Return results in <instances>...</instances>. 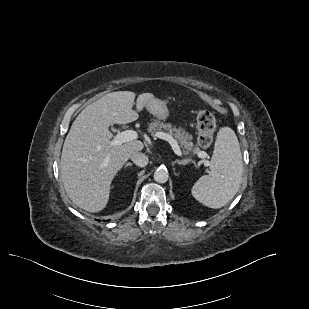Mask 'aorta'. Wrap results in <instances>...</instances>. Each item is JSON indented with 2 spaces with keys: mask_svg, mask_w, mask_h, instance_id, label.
<instances>
[{
  "mask_svg": "<svg viewBox=\"0 0 309 309\" xmlns=\"http://www.w3.org/2000/svg\"><path fill=\"white\" fill-rule=\"evenodd\" d=\"M169 173L165 167H159L154 172V180L158 183H165L168 181Z\"/></svg>",
  "mask_w": 309,
  "mask_h": 309,
  "instance_id": "1",
  "label": "aorta"
}]
</instances>
